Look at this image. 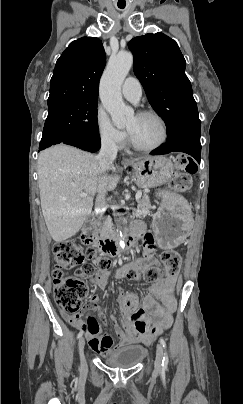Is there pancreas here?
<instances>
[{
	"mask_svg": "<svg viewBox=\"0 0 243 404\" xmlns=\"http://www.w3.org/2000/svg\"><path fill=\"white\" fill-rule=\"evenodd\" d=\"M147 194L148 193H143L141 200H138L137 210L135 212L136 218H145V216H149L150 214L149 210H151L152 206L149 202ZM103 232L108 238V236H111V234H113L112 226H105Z\"/></svg>",
	"mask_w": 243,
	"mask_h": 404,
	"instance_id": "1",
	"label": "pancreas"
}]
</instances>
